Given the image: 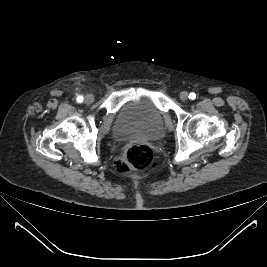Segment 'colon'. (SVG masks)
I'll list each match as a JSON object with an SVG mask.
<instances>
[{
  "mask_svg": "<svg viewBox=\"0 0 267 267\" xmlns=\"http://www.w3.org/2000/svg\"><path fill=\"white\" fill-rule=\"evenodd\" d=\"M155 163L152 149L145 144L135 143L129 145L116 161V170L119 173L145 170L155 166Z\"/></svg>",
  "mask_w": 267,
  "mask_h": 267,
  "instance_id": "5ec220e1",
  "label": "colon"
}]
</instances>
